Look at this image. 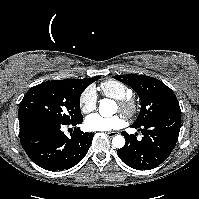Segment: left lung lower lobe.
<instances>
[{"mask_svg": "<svg viewBox=\"0 0 199 199\" xmlns=\"http://www.w3.org/2000/svg\"><path fill=\"white\" fill-rule=\"evenodd\" d=\"M181 112H170L156 117L142 126L131 127L141 131L143 137L138 141L136 135L122 132L125 146L118 149L119 158L137 170H150L167 159L179 136Z\"/></svg>", "mask_w": 199, "mask_h": 199, "instance_id": "1", "label": "left lung lower lobe"}]
</instances>
